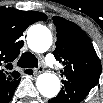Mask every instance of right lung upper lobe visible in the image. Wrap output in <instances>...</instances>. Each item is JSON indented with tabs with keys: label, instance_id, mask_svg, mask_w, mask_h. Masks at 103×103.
<instances>
[{
	"label": "right lung upper lobe",
	"instance_id": "cb5924a9",
	"mask_svg": "<svg viewBox=\"0 0 103 103\" xmlns=\"http://www.w3.org/2000/svg\"><path fill=\"white\" fill-rule=\"evenodd\" d=\"M46 19L44 13L37 11L0 8V93L7 91L21 79L12 65L22 46V41L16 40L29 25Z\"/></svg>",
	"mask_w": 103,
	"mask_h": 103
}]
</instances>
